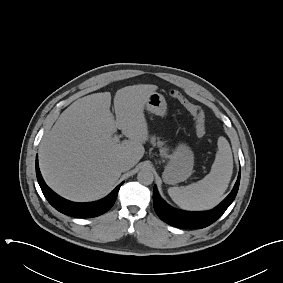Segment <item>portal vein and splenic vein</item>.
<instances>
[{
  "label": "portal vein and splenic vein",
  "instance_id": "1",
  "mask_svg": "<svg viewBox=\"0 0 283 283\" xmlns=\"http://www.w3.org/2000/svg\"><path fill=\"white\" fill-rule=\"evenodd\" d=\"M114 139H115L116 141H118V140H119V136H114Z\"/></svg>",
  "mask_w": 283,
  "mask_h": 283
}]
</instances>
